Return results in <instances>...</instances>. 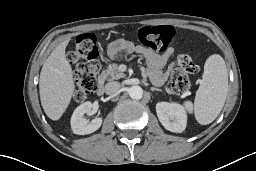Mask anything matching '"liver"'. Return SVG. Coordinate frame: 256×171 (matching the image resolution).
Listing matches in <instances>:
<instances>
[{"instance_id": "obj_1", "label": "liver", "mask_w": 256, "mask_h": 171, "mask_svg": "<svg viewBox=\"0 0 256 171\" xmlns=\"http://www.w3.org/2000/svg\"><path fill=\"white\" fill-rule=\"evenodd\" d=\"M68 40L61 42L49 55L40 73L39 93L44 112L59 120L74 94L73 72L65 55Z\"/></svg>"}]
</instances>
